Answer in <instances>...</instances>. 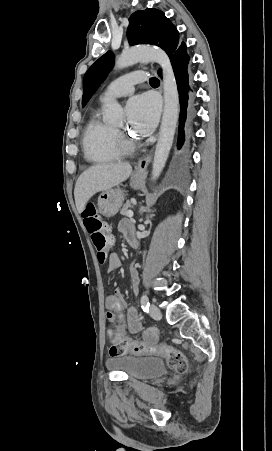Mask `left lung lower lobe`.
<instances>
[{
  "instance_id": "1",
  "label": "left lung lower lobe",
  "mask_w": 272,
  "mask_h": 451,
  "mask_svg": "<svg viewBox=\"0 0 272 451\" xmlns=\"http://www.w3.org/2000/svg\"><path fill=\"white\" fill-rule=\"evenodd\" d=\"M190 57L186 51V44L181 42L170 58L173 71L175 74L177 88L179 92L180 99V117H179V130H178V149L180 150L177 159L179 162H184L188 159L190 148L189 142L193 136V120H194V109L193 107L188 108L189 99V74H188V64ZM161 76V72H158ZM187 140L186 145H184Z\"/></svg>"
}]
</instances>
